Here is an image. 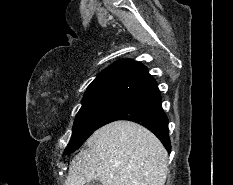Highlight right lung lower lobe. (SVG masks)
I'll list each match as a JSON object with an SVG mask.
<instances>
[{
  "label": "right lung lower lobe",
  "instance_id": "right-lung-lower-lobe-1",
  "mask_svg": "<svg viewBox=\"0 0 233 185\" xmlns=\"http://www.w3.org/2000/svg\"><path fill=\"white\" fill-rule=\"evenodd\" d=\"M116 120L139 123L152 131L170 152L168 118L161 105V96L154 79H150L128 94L104 117L98 128Z\"/></svg>",
  "mask_w": 233,
  "mask_h": 185
}]
</instances>
